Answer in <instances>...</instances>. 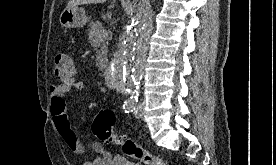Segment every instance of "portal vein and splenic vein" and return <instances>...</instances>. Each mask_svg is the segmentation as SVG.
<instances>
[{
	"label": "portal vein and splenic vein",
	"mask_w": 276,
	"mask_h": 165,
	"mask_svg": "<svg viewBox=\"0 0 276 165\" xmlns=\"http://www.w3.org/2000/svg\"><path fill=\"white\" fill-rule=\"evenodd\" d=\"M108 35H109V32H108L107 30L103 29V30L101 31L99 37H100V38H106V37H108Z\"/></svg>",
	"instance_id": "18ae733b"
}]
</instances>
